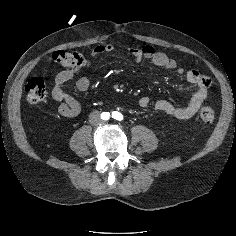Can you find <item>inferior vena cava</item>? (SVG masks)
Listing matches in <instances>:
<instances>
[{
    "label": "inferior vena cava",
    "mask_w": 236,
    "mask_h": 236,
    "mask_svg": "<svg viewBox=\"0 0 236 236\" xmlns=\"http://www.w3.org/2000/svg\"><path fill=\"white\" fill-rule=\"evenodd\" d=\"M101 118H100V113L98 111H94L90 114L89 116V122L92 125H98L99 123H101Z\"/></svg>",
    "instance_id": "1"
}]
</instances>
